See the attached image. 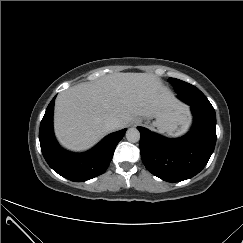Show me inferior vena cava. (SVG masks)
Wrapping results in <instances>:
<instances>
[{
  "instance_id": "inferior-vena-cava-1",
  "label": "inferior vena cava",
  "mask_w": 243,
  "mask_h": 243,
  "mask_svg": "<svg viewBox=\"0 0 243 243\" xmlns=\"http://www.w3.org/2000/svg\"><path fill=\"white\" fill-rule=\"evenodd\" d=\"M106 126L109 130H115L118 128L119 126V119L118 118H109L107 121H106Z\"/></svg>"
}]
</instances>
